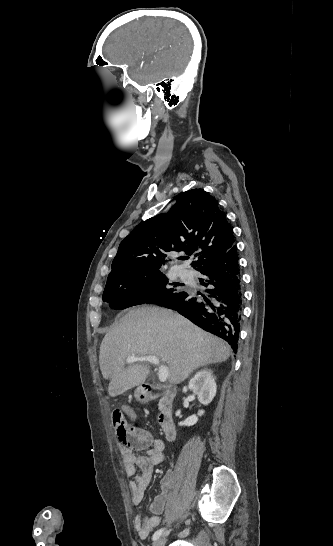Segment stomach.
I'll return each instance as SVG.
<instances>
[{
	"mask_svg": "<svg viewBox=\"0 0 333 546\" xmlns=\"http://www.w3.org/2000/svg\"><path fill=\"white\" fill-rule=\"evenodd\" d=\"M134 397L139 402H144L147 399L146 392L141 386L135 390Z\"/></svg>",
	"mask_w": 333,
	"mask_h": 546,
	"instance_id": "stomach-1",
	"label": "stomach"
}]
</instances>
